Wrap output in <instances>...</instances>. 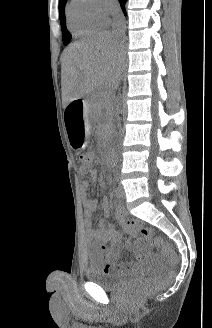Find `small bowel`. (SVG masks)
Returning <instances> with one entry per match:
<instances>
[{
  "instance_id": "small-bowel-1",
  "label": "small bowel",
  "mask_w": 212,
  "mask_h": 328,
  "mask_svg": "<svg viewBox=\"0 0 212 328\" xmlns=\"http://www.w3.org/2000/svg\"><path fill=\"white\" fill-rule=\"evenodd\" d=\"M82 176H88L92 182L98 180V172L80 173ZM90 182L82 180L80 191L85 210V226L87 236L92 244L93 250L91 259L97 266L101 267L106 273L124 274L139 268L137 262L120 261L122 248L133 252L139 262H145L150 255L147 245L141 243L132 244L129 241L123 243V236L119 231V226L123 227L129 235H134L138 229V224L134 220L125 218L122 214L121 206H118L117 224L106 227L103 221L94 223L93 212L98 208V202L88 197ZM101 208L105 216L110 214V204L107 199L101 202Z\"/></svg>"
}]
</instances>
